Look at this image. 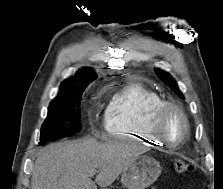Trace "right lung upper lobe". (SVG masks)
I'll use <instances>...</instances> for the list:
<instances>
[{
  "label": "right lung upper lobe",
  "instance_id": "1",
  "mask_svg": "<svg viewBox=\"0 0 223 189\" xmlns=\"http://www.w3.org/2000/svg\"><path fill=\"white\" fill-rule=\"evenodd\" d=\"M97 78V74L89 69L79 70L73 77L62 82L58 96H69L84 91L87 85Z\"/></svg>",
  "mask_w": 223,
  "mask_h": 189
}]
</instances>
